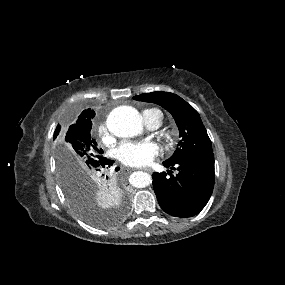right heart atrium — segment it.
Returning <instances> with one entry per match:
<instances>
[{"instance_id":"obj_1","label":"right heart atrium","mask_w":285,"mask_h":285,"mask_svg":"<svg viewBox=\"0 0 285 285\" xmlns=\"http://www.w3.org/2000/svg\"><path fill=\"white\" fill-rule=\"evenodd\" d=\"M98 133L104 141L109 139V130L106 121L100 122L98 125Z\"/></svg>"}]
</instances>
